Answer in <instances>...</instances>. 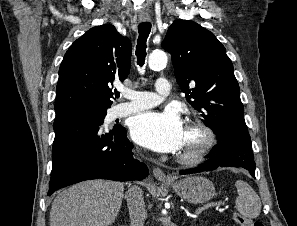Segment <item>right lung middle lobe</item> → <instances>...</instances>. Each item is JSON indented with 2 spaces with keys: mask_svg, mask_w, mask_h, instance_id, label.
<instances>
[{
  "mask_svg": "<svg viewBox=\"0 0 297 226\" xmlns=\"http://www.w3.org/2000/svg\"><path fill=\"white\" fill-rule=\"evenodd\" d=\"M94 114L97 119H99L102 123L106 116V110L94 111Z\"/></svg>",
  "mask_w": 297,
  "mask_h": 226,
  "instance_id": "obj_1",
  "label": "right lung middle lobe"
}]
</instances>
